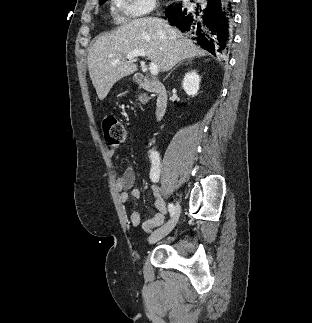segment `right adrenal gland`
I'll list each match as a JSON object with an SVG mask.
<instances>
[{
    "label": "right adrenal gland",
    "instance_id": "1",
    "mask_svg": "<svg viewBox=\"0 0 312 323\" xmlns=\"http://www.w3.org/2000/svg\"><path fill=\"white\" fill-rule=\"evenodd\" d=\"M187 64H191L192 60H186ZM178 66H181V64H178ZM178 66H176V68H178ZM175 70V68H174ZM173 70H171L170 74H172ZM170 74H168V76H170Z\"/></svg>",
    "mask_w": 312,
    "mask_h": 323
}]
</instances>
